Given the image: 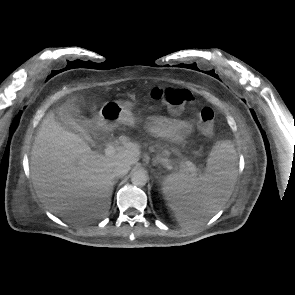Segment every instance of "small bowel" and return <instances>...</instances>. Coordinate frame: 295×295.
Instances as JSON below:
<instances>
[{"label":"small bowel","instance_id":"small-bowel-1","mask_svg":"<svg viewBox=\"0 0 295 295\" xmlns=\"http://www.w3.org/2000/svg\"><path fill=\"white\" fill-rule=\"evenodd\" d=\"M152 130L169 140H181L192 131V122L187 120L154 117L151 120Z\"/></svg>","mask_w":295,"mask_h":295}]
</instances>
